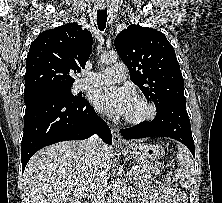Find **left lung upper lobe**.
<instances>
[{
    "label": "left lung upper lobe",
    "instance_id": "obj_1",
    "mask_svg": "<svg viewBox=\"0 0 222 203\" xmlns=\"http://www.w3.org/2000/svg\"><path fill=\"white\" fill-rule=\"evenodd\" d=\"M114 44L131 81L156 108L171 100L186 102L174 48L163 33L131 24L116 36Z\"/></svg>",
    "mask_w": 222,
    "mask_h": 203
}]
</instances>
